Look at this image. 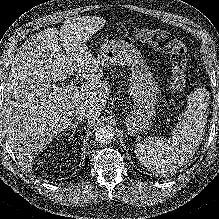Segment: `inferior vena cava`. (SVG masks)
<instances>
[{
  "instance_id": "inferior-vena-cava-1",
  "label": "inferior vena cava",
  "mask_w": 219,
  "mask_h": 219,
  "mask_svg": "<svg viewBox=\"0 0 219 219\" xmlns=\"http://www.w3.org/2000/svg\"><path fill=\"white\" fill-rule=\"evenodd\" d=\"M73 114L76 116V119L82 120V119L91 117L92 110H90L84 106L77 105L75 107V110L73 111Z\"/></svg>"
}]
</instances>
